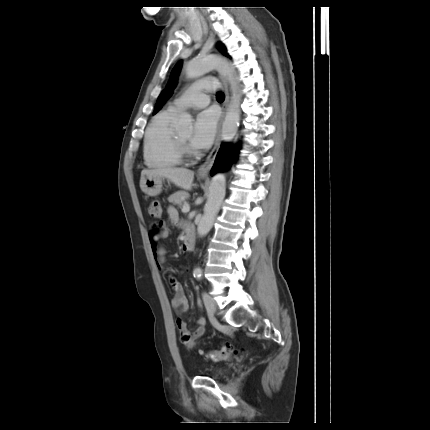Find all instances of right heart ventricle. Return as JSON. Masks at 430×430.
<instances>
[{
	"mask_svg": "<svg viewBox=\"0 0 430 430\" xmlns=\"http://www.w3.org/2000/svg\"><path fill=\"white\" fill-rule=\"evenodd\" d=\"M176 116V111L164 110L155 115L146 128L143 142V158L146 166L169 168L181 163L173 128Z\"/></svg>",
	"mask_w": 430,
	"mask_h": 430,
	"instance_id": "right-heart-ventricle-1",
	"label": "right heart ventricle"
}]
</instances>
